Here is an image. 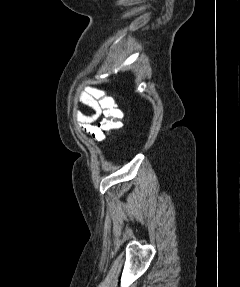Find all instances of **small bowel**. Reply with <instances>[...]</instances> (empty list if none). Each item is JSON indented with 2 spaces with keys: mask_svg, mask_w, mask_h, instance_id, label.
I'll list each match as a JSON object with an SVG mask.
<instances>
[{
  "mask_svg": "<svg viewBox=\"0 0 240 287\" xmlns=\"http://www.w3.org/2000/svg\"><path fill=\"white\" fill-rule=\"evenodd\" d=\"M77 101L87 105L93 110L91 114H80V121L84 124L85 131L89 132L93 138L98 141L102 142L105 139V136L101 129H99L94 122L99 118L101 115V110L95 100L90 94L82 91L77 94Z\"/></svg>",
  "mask_w": 240,
  "mask_h": 287,
  "instance_id": "c3829d8e",
  "label": "small bowel"
}]
</instances>
